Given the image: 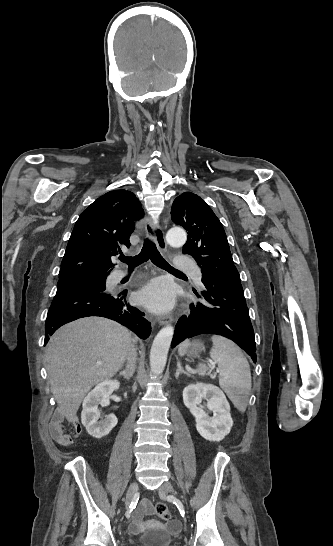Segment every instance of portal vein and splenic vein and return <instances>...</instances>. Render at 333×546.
<instances>
[{"label":"portal vein and splenic vein","mask_w":333,"mask_h":546,"mask_svg":"<svg viewBox=\"0 0 333 546\" xmlns=\"http://www.w3.org/2000/svg\"><path fill=\"white\" fill-rule=\"evenodd\" d=\"M98 364H100V362H98ZM212 366L214 367L215 365L212 363Z\"/></svg>","instance_id":"1"}]
</instances>
